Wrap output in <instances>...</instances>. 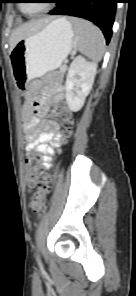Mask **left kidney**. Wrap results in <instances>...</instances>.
<instances>
[{
  "label": "left kidney",
  "mask_w": 136,
  "mask_h": 296,
  "mask_svg": "<svg viewBox=\"0 0 136 296\" xmlns=\"http://www.w3.org/2000/svg\"><path fill=\"white\" fill-rule=\"evenodd\" d=\"M96 70V63L88 62L80 55L71 63L65 82L66 101L71 111L78 112L83 107L92 88Z\"/></svg>",
  "instance_id": "left-kidney-1"
}]
</instances>
